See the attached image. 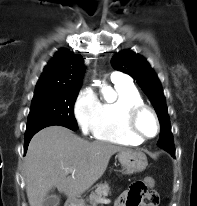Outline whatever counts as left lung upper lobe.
Masks as SVG:
<instances>
[{
    "label": "left lung upper lobe",
    "instance_id": "left-lung-upper-lobe-1",
    "mask_svg": "<svg viewBox=\"0 0 197 206\" xmlns=\"http://www.w3.org/2000/svg\"><path fill=\"white\" fill-rule=\"evenodd\" d=\"M113 67L129 74L150 99L160 122V136L157 145L165 150L174 149L170 119L161 83L149 63L140 55L125 50L112 57Z\"/></svg>",
    "mask_w": 197,
    "mask_h": 206
}]
</instances>
